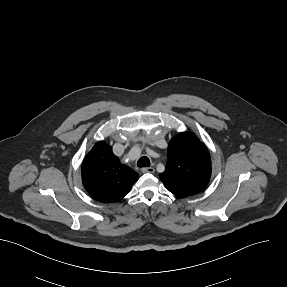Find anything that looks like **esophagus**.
I'll return each mask as SVG.
<instances>
[{"mask_svg": "<svg viewBox=\"0 0 287 287\" xmlns=\"http://www.w3.org/2000/svg\"><path fill=\"white\" fill-rule=\"evenodd\" d=\"M143 173H154V168L153 167H145L142 168Z\"/></svg>", "mask_w": 287, "mask_h": 287, "instance_id": "esophagus-1", "label": "esophagus"}]
</instances>
